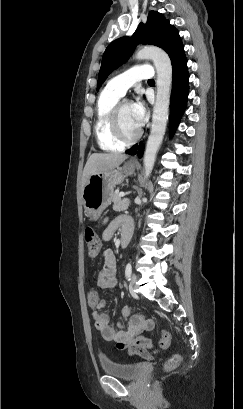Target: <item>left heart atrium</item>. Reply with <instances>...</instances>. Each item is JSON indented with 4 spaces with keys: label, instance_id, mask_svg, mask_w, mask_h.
Returning <instances> with one entry per match:
<instances>
[{
    "label": "left heart atrium",
    "instance_id": "obj_1",
    "mask_svg": "<svg viewBox=\"0 0 243 409\" xmlns=\"http://www.w3.org/2000/svg\"><path fill=\"white\" fill-rule=\"evenodd\" d=\"M131 111L134 118V121L138 127H141L145 124L148 118L147 108L143 100H137L131 104Z\"/></svg>",
    "mask_w": 243,
    "mask_h": 409
}]
</instances>
